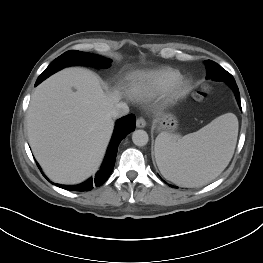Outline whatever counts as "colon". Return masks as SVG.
<instances>
[{
    "label": "colon",
    "instance_id": "5ec220e1",
    "mask_svg": "<svg viewBox=\"0 0 263 263\" xmlns=\"http://www.w3.org/2000/svg\"><path fill=\"white\" fill-rule=\"evenodd\" d=\"M210 93H211V90L208 89V88L202 90V91L198 94L199 100L205 99Z\"/></svg>",
    "mask_w": 263,
    "mask_h": 263
}]
</instances>
